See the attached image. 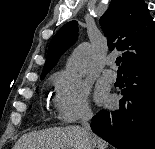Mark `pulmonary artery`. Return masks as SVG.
I'll list each match as a JSON object with an SVG mask.
<instances>
[{
    "label": "pulmonary artery",
    "instance_id": "obj_1",
    "mask_svg": "<svg viewBox=\"0 0 155 149\" xmlns=\"http://www.w3.org/2000/svg\"><path fill=\"white\" fill-rule=\"evenodd\" d=\"M107 65L113 67L115 64V59L113 57L107 58ZM103 76L110 82H114L117 79V73L114 69L108 68L103 71Z\"/></svg>",
    "mask_w": 155,
    "mask_h": 149
}]
</instances>
